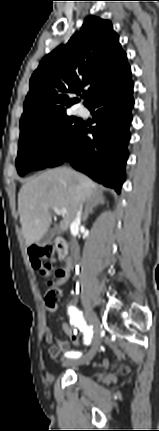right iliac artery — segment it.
Here are the masks:
<instances>
[{
  "label": "right iliac artery",
  "instance_id": "1",
  "mask_svg": "<svg viewBox=\"0 0 159 431\" xmlns=\"http://www.w3.org/2000/svg\"><path fill=\"white\" fill-rule=\"evenodd\" d=\"M68 313L71 317V324L83 331L84 343L86 345H89L93 334L92 327L86 324L85 320L83 319L82 312L79 311L76 307L69 306ZM81 354H82L81 352L72 351V352L66 353L65 356L68 358H78L81 356Z\"/></svg>",
  "mask_w": 159,
  "mask_h": 431
}]
</instances>
